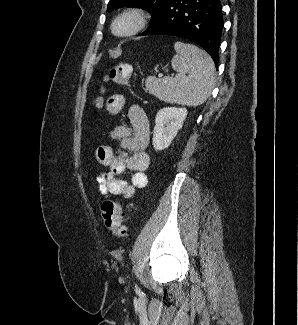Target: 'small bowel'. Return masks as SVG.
<instances>
[{
  "mask_svg": "<svg viewBox=\"0 0 298 325\" xmlns=\"http://www.w3.org/2000/svg\"><path fill=\"white\" fill-rule=\"evenodd\" d=\"M126 105L122 94L110 96L106 102V111L110 115L119 114ZM131 128L116 125L109 129L108 138L120 145L119 151L110 146H100L96 151L99 164L107 168L97 177L100 193L105 197L124 196L131 198L136 189L144 188L148 183L145 173L150 158L146 152L150 125L145 111L139 105H132L128 110ZM129 170L128 180L123 176Z\"/></svg>",
  "mask_w": 298,
  "mask_h": 325,
  "instance_id": "c3829d8e",
  "label": "small bowel"
}]
</instances>
